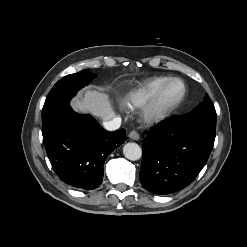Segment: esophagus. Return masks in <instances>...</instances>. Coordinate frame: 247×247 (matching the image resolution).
Segmentation results:
<instances>
[{"label": "esophagus", "mask_w": 247, "mask_h": 247, "mask_svg": "<svg viewBox=\"0 0 247 247\" xmlns=\"http://www.w3.org/2000/svg\"><path fill=\"white\" fill-rule=\"evenodd\" d=\"M128 136L132 140L138 141L140 139V136L136 131H131Z\"/></svg>", "instance_id": "obj_1"}]
</instances>
